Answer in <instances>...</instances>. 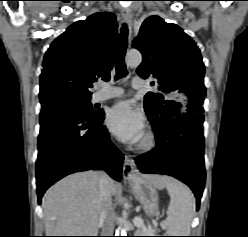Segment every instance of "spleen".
I'll use <instances>...</instances> for the list:
<instances>
[{
    "instance_id": "obj_1",
    "label": "spleen",
    "mask_w": 248,
    "mask_h": 237,
    "mask_svg": "<svg viewBox=\"0 0 248 237\" xmlns=\"http://www.w3.org/2000/svg\"><path fill=\"white\" fill-rule=\"evenodd\" d=\"M166 188L170 196L167 209V233L169 236H189L195 199L189 188L177 180L169 179Z\"/></svg>"
}]
</instances>
